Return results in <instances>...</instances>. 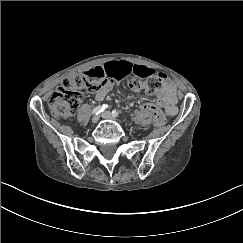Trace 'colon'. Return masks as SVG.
I'll list each match as a JSON object with an SVG mask.
<instances>
[{
    "label": "colon",
    "instance_id": "obj_1",
    "mask_svg": "<svg viewBox=\"0 0 243 243\" xmlns=\"http://www.w3.org/2000/svg\"><path fill=\"white\" fill-rule=\"evenodd\" d=\"M99 80V75L73 74L66 77L62 81L59 89L52 94L48 102L52 115L59 118L72 116L76 112L85 92L96 90L99 85ZM163 86V80L159 77L150 78L146 81L132 79L129 82V88L132 91H144L149 95L159 93ZM142 109L151 113L155 126L161 127L166 124V117L154 104L146 103Z\"/></svg>",
    "mask_w": 243,
    "mask_h": 243
}]
</instances>
